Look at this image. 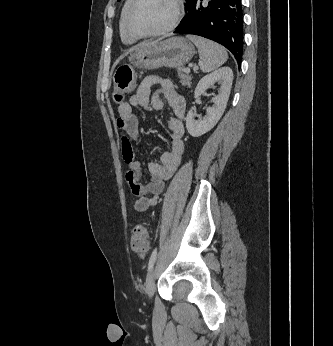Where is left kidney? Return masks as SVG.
<instances>
[{
  "label": "left kidney",
  "instance_id": "left-kidney-1",
  "mask_svg": "<svg viewBox=\"0 0 333 346\" xmlns=\"http://www.w3.org/2000/svg\"><path fill=\"white\" fill-rule=\"evenodd\" d=\"M233 81V71L230 67H222L206 76L197 84L194 91V97L198 98L208 88L215 83L220 84L218 95L213 99L214 105L206 109V115L203 118L195 120L196 114L191 109L186 117V128L192 137H199L210 131L222 117L231 91Z\"/></svg>",
  "mask_w": 333,
  "mask_h": 346
}]
</instances>
